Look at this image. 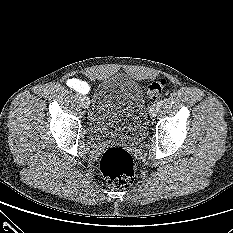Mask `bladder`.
I'll use <instances>...</instances> for the list:
<instances>
[{
    "mask_svg": "<svg viewBox=\"0 0 233 233\" xmlns=\"http://www.w3.org/2000/svg\"><path fill=\"white\" fill-rule=\"evenodd\" d=\"M146 100L141 86L124 74L103 80L97 87L88 118L96 143L137 144L144 137Z\"/></svg>",
    "mask_w": 233,
    "mask_h": 233,
    "instance_id": "31cf9c89",
    "label": "bladder"
}]
</instances>
